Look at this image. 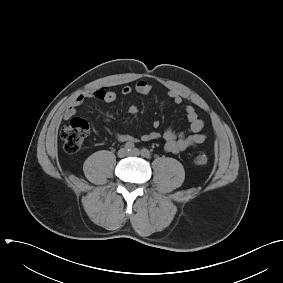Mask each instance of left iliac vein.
Instances as JSON below:
<instances>
[{"label":"left iliac vein","mask_w":283,"mask_h":283,"mask_svg":"<svg viewBox=\"0 0 283 283\" xmlns=\"http://www.w3.org/2000/svg\"><path fill=\"white\" fill-rule=\"evenodd\" d=\"M141 154L140 150L135 148L130 152V155L132 156H139Z\"/></svg>","instance_id":"1"}]
</instances>
